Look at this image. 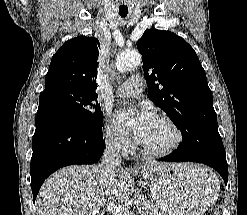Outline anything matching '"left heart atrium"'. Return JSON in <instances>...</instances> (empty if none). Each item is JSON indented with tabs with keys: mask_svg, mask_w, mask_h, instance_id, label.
<instances>
[{
	"mask_svg": "<svg viewBox=\"0 0 247 215\" xmlns=\"http://www.w3.org/2000/svg\"><path fill=\"white\" fill-rule=\"evenodd\" d=\"M114 121L119 127L131 131L140 141L155 121V117L143 109H123L114 114Z\"/></svg>",
	"mask_w": 247,
	"mask_h": 215,
	"instance_id": "39dd6f15",
	"label": "left heart atrium"
}]
</instances>
